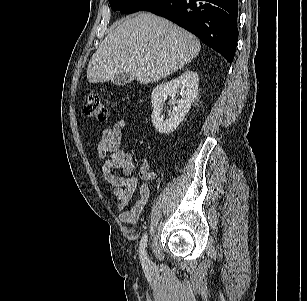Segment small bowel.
<instances>
[{
	"mask_svg": "<svg viewBox=\"0 0 307 301\" xmlns=\"http://www.w3.org/2000/svg\"><path fill=\"white\" fill-rule=\"evenodd\" d=\"M126 127V120L119 119L113 126L104 128L100 139L95 143V148L99 159L109 154V157L101 165V171L104 179L113 187V193L118 200V210H123L133 199L136 191H139L140 198L134 206L128 211H122L119 215L121 222L134 224L142 213L150 195L147 182L154 180L156 174L150 171L147 160L143 159L139 167V177L132 175L136 164L128 158L127 152L120 150ZM116 171L121 174H117ZM139 179L145 182L139 185Z\"/></svg>",
	"mask_w": 307,
	"mask_h": 301,
	"instance_id": "1",
	"label": "small bowel"
}]
</instances>
